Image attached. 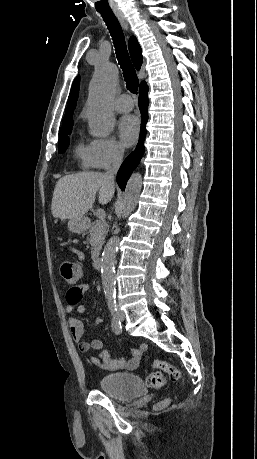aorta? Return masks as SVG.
<instances>
[{"mask_svg":"<svg viewBox=\"0 0 257 459\" xmlns=\"http://www.w3.org/2000/svg\"><path fill=\"white\" fill-rule=\"evenodd\" d=\"M118 83V69L111 63H101L96 69L89 86V103L87 121L91 134L95 137L107 138L115 125V117L110 109V101L115 94ZM142 188V177L134 173L127 182L122 216L126 218L136 207ZM120 229L115 231L102 253L101 274L105 296L112 300L115 297V259L119 245Z\"/></svg>","mask_w":257,"mask_h":459,"instance_id":"obj_1","label":"aorta"}]
</instances>
